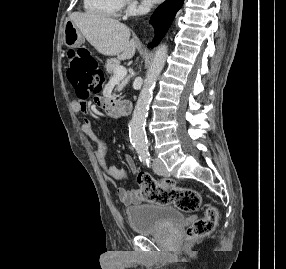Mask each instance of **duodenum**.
Here are the masks:
<instances>
[{"label":"duodenum","mask_w":286,"mask_h":269,"mask_svg":"<svg viewBox=\"0 0 286 269\" xmlns=\"http://www.w3.org/2000/svg\"><path fill=\"white\" fill-rule=\"evenodd\" d=\"M106 108H115L119 114L126 115L131 110V103L128 101L111 102Z\"/></svg>","instance_id":"obj_1"}]
</instances>
